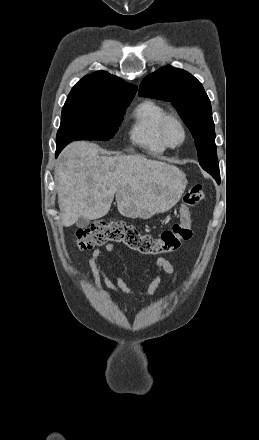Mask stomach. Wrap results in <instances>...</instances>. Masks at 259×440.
Segmentation results:
<instances>
[{"instance_id":"0dacf381","label":"stomach","mask_w":259,"mask_h":440,"mask_svg":"<svg viewBox=\"0 0 259 440\" xmlns=\"http://www.w3.org/2000/svg\"><path fill=\"white\" fill-rule=\"evenodd\" d=\"M182 184H183L184 186L186 185V180H185V179L182 181Z\"/></svg>"}]
</instances>
